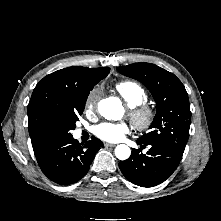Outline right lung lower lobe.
<instances>
[{
  "label": "right lung lower lobe",
  "mask_w": 221,
  "mask_h": 221,
  "mask_svg": "<svg viewBox=\"0 0 221 221\" xmlns=\"http://www.w3.org/2000/svg\"><path fill=\"white\" fill-rule=\"evenodd\" d=\"M102 147L103 142L95 137L83 144L70 136L56 140L36 159L50 180L69 185L86 175L95 154Z\"/></svg>",
  "instance_id": "right-lung-lower-lobe-1"
}]
</instances>
